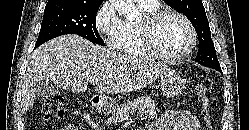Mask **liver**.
<instances>
[{"mask_svg":"<svg viewBox=\"0 0 249 130\" xmlns=\"http://www.w3.org/2000/svg\"><path fill=\"white\" fill-rule=\"evenodd\" d=\"M171 71L168 66L151 59L123 55L80 36L64 35L32 53L23 78L20 104L24 113L33 106L41 81L73 92H84L85 80L96 79V92L117 94L140 90Z\"/></svg>","mask_w":249,"mask_h":130,"instance_id":"6515ba94","label":"liver"}]
</instances>
